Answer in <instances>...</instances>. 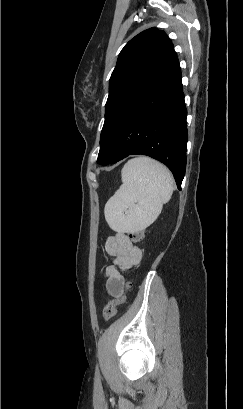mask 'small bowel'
<instances>
[{
  "mask_svg": "<svg viewBox=\"0 0 243 409\" xmlns=\"http://www.w3.org/2000/svg\"><path fill=\"white\" fill-rule=\"evenodd\" d=\"M105 250L113 261V265L105 270V287L109 295L116 297L122 293L125 284V279L118 269L125 270L136 265L141 260L142 252L123 232L108 237Z\"/></svg>",
  "mask_w": 243,
  "mask_h": 409,
  "instance_id": "c3829d8e",
  "label": "small bowel"
}]
</instances>
